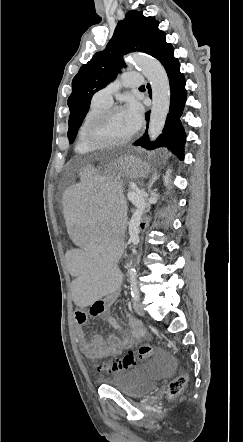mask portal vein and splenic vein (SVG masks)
I'll return each mask as SVG.
<instances>
[{
  "label": "portal vein and splenic vein",
  "mask_w": 243,
  "mask_h": 442,
  "mask_svg": "<svg viewBox=\"0 0 243 442\" xmlns=\"http://www.w3.org/2000/svg\"><path fill=\"white\" fill-rule=\"evenodd\" d=\"M127 196L131 201L136 200V198L138 197V195L135 192H128Z\"/></svg>",
  "instance_id": "1"
}]
</instances>
